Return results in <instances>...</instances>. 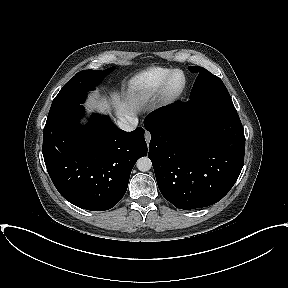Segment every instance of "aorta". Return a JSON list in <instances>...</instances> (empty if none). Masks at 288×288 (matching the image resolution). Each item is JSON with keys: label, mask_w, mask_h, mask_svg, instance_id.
Wrapping results in <instances>:
<instances>
[{"label": "aorta", "mask_w": 288, "mask_h": 288, "mask_svg": "<svg viewBox=\"0 0 288 288\" xmlns=\"http://www.w3.org/2000/svg\"><path fill=\"white\" fill-rule=\"evenodd\" d=\"M136 166H137L139 171L147 172L151 169L152 162L148 157L144 156V157H141L137 160Z\"/></svg>", "instance_id": "obj_1"}]
</instances>
